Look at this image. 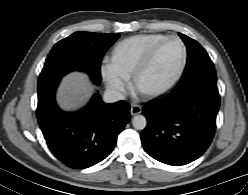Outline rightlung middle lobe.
I'll return each instance as SVG.
<instances>
[{"mask_svg": "<svg viewBox=\"0 0 248 195\" xmlns=\"http://www.w3.org/2000/svg\"><path fill=\"white\" fill-rule=\"evenodd\" d=\"M118 37L119 34L75 32L60 40L46 59L38 87L76 70L88 73L98 85L102 57Z\"/></svg>", "mask_w": 248, "mask_h": 195, "instance_id": "obj_1", "label": "right lung middle lobe"}]
</instances>
